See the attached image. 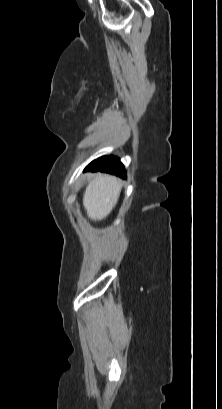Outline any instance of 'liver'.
I'll list each match as a JSON object with an SVG mask.
<instances>
[{"label": "liver", "instance_id": "1", "mask_svg": "<svg viewBox=\"0 0 222 409\" xmlns=\"http://www.w3.org/2000/svg\"><path fill=\"white\" fill-rule=\"evenodd\" d=\"M121 188V181L114 176L94 175L83 195L88 217L94 221L105 219L116 206Z\"/></svg>", "mask_w": 222, "mask_h": 409}]
</instances>
